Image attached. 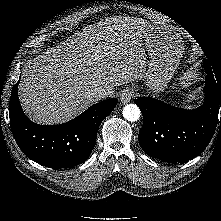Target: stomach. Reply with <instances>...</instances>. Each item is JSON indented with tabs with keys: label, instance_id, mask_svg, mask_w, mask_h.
I'll return each instance as SVG.
<instances>
[{
	"label": "stomach",
	"instance_id": "stomach-1",
	"mask_svg": "<svg viewBox=\"0 0 221 221\" xmlns=\"http://www.w3.org/2000/svg\"><path fill=\"white\" fill-rule=\"evenodd\" d=\"M143 39L149 57L144 86L156 93L163 92L177 69L184 42L172 29L150 24L143 31Z\"/></svg>",
	"mask_w": 221,
	"mask_h": 221
}]
</instances>
